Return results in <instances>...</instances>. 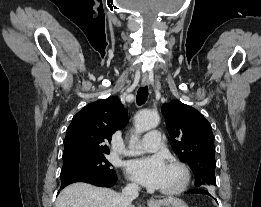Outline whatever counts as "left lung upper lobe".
<instances>
[{
	"instance_id": "5c2ea615",
	"label": "left lung upper lobe",
	"mask_w": 261,
	"mask_h": 207,
	"mask_svg": "<svg viewBox=\"0 0 261 207\" xmlns=\"http://www.w3.org/2000/svg\"><path fill=\"white\" fill-rule=\"evenodd\" d=\"M170 143L195 176L198 187L216 185L215 146L210 123L193 107L178 100L162 105Z\"/></svg>"
}]
</instances>
